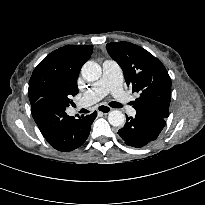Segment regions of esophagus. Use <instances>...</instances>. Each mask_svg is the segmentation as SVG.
Masks as SVG:
<instances>
[{
    "instance_id": "34e87169",
    "label": "esophagus",
    "mask_w": 205,
    "mask_h": 205,
    "mask_svg": "<svg viewBox=\"0 0 205 205\" xmlns=\"http://www.w3.org/2000/svg\"><path fill=\"white\" fill-rule=\"evenodd\" d=\"M97 110L103 114H108L112 111V108L107 105H99Z\"/></svg>"
}]
</instances>
